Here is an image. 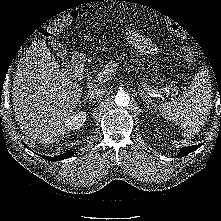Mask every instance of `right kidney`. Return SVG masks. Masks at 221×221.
<instances>
[{
  "label": "right kidney",
  "mask_w": 221,
  "mask_h": 221,
  "mask_svg": "<svg viewBox=\"0 0 221 221\" xmlns=\"http://www.w3.org/2000/svg\"><path fill=\"white\" fill-rule=\"evenodd\" d=\"M86 121V112H79L78 114H75L72 116L68 121L66 122V126L71 129H79L84 125V122Z\"/></svg>",
  "instance_id": "right-kidney-1"
}]
</instances>
